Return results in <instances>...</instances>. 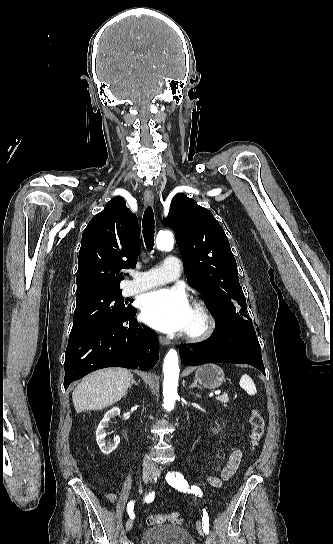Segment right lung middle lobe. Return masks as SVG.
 Here are the masks:
<instances>
[{
    "label": "right lung middle lobe",
    "mask_w": 333,
    "mask_h": 544,
    "mask_svg": "<svg viewBox=\"0 0 333 544\" xmlns=\"http://www.w3.org/2000/svg\"><path fill=\"white\" fill-rule=\"evenodd\" d=\"M134 308L124 301L121 290L106 291L76 299L74 323L69 339L80 337L104 324L123 318Z\"/></svg>",
    "instance_id": "obj_1"
}]
</instances>
